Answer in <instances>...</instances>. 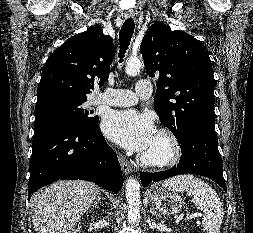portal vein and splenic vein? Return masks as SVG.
<instances>
[{
	"mask_svg": "<svg viewBox=\"0 0 253 233\" xmlns=\"http://www.w3.org/2000/svg\"><path fill=\"white\" fill-rule=\"evenodd\" d=\"M200 216H202L201 213H196V214H194V215H190V216L186 217V219L189 220V219H192V218H194V217H200ZM182 217H183V214H181V215L178 217L177 221H179Z\"/></svg>",
	"mask_w": 253,
	"mask_h": 233,
	"instance_id": "obj_1",
	"label": "portal vein and splenic vein"
}]
</instances>
